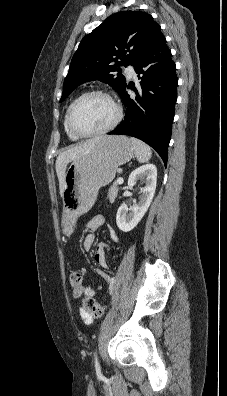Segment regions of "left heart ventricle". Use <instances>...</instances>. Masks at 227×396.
Here are the masks:
<instances>
[{"label": "left heart ventricle", "instance_id": "obj_1", "mask_svg": "<svg viewBox=\"0 0 227 396\" xmlns=\"http://www.w3.org/2000/svg\"><path fill=\"white\" fill-rule=\"evenodd\" d=\"M115 114V109L108 99L92 95L77 104L73 113V123L82 132H92L110 124Z\"/></svg>", "mask_w": 227, "mask_h": 396}]
</instances>
